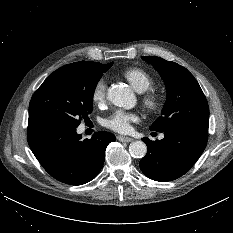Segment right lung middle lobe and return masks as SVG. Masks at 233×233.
<instances>
[{
    "mask_svg": "<svg viewBox=\"0 0 233 233\" xmlns=\"http://www.w3.org/2000/svg\"><path fill=\"white\" fill-rule=\"evenodd\" d=\"M110 67L76 62L54 71L38 88L29 104V122H57L78 127L93 108V94Z\"/></svg>",
    "mask_w": 233,
    "mask_h": 233,
    "instance_id": "right-lung-middle-lobe-1",
    "label": "right lung middle lobe"
}]
</instances>
